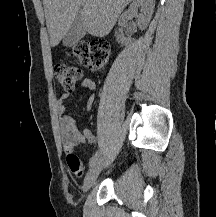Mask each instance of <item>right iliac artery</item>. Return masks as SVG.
Masks as SVG:
<instances>
[{
	"mask_svg": "<svg viewBox=\"0 0 216 217\" xmlns=\"http://www.w3.org/2000/svg\"><path fill=\"white\" fill-rule=\"evenodd\" d=\"M99 155H100V151H97L93 156L92 158L90 159V162H89V166H92L95 164V162L98 160L99 158Z\"/></svg>",
	"mask_w": 216,
	"mask_h": 217,
	"instance_id": "82829eb1",
	"label": "right iliac artery"
}]
</instances>
